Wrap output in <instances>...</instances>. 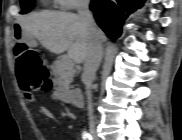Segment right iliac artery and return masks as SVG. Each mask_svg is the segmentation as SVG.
<instances>
[{
	"label": "right iliac artery",
	"instance_id": "right-iliac-artery-1",
	"mask_svg": "<svg viewBox=\"0 0 182 140\" xmlns=\"http://www.w3.org/2000/svg\"><path fill=\"white\" fill-rule=\"evenodd\" d=\"M85 139L92 140L93 138L92 137H88V138H85Z\"/></svg>",
	"mask_w": 182,
	"mask_h": 140
}]
</instances>
